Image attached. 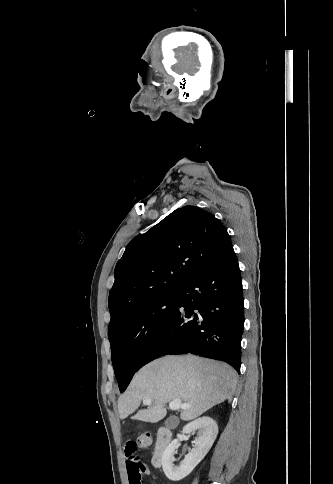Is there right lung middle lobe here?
I'll list each match as a JSON object with an SVG mask.
<instances>
[{
  "label": "right lung middle lobe",
  "instance_id": "right-lung-middle-lobe-1",
  "mask_svg": "<svg viewBox=\"0 0 333 484\" xmlns=\"http://www.w3.org/2000/svg\"><path fill=\"white\" fill-rule=\"evenodd\" d=\"M178 300V291L157 296L130 309L109 325L112 363L120 392L127 388L146 345L166 323Z\"/></svg>",
  "mask_w": 333,
  "mask_h": 484
}]
</instances>
